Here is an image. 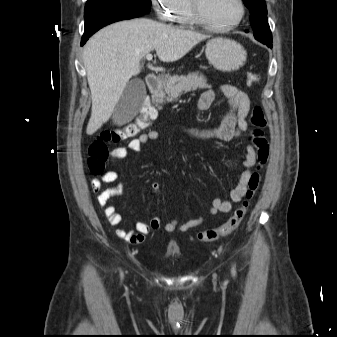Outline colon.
Returning a JSON list of instances; mask_svg holds the SVG:
<instances>
[{"instance_id": "colon-1", "label": "colon", "mask_w": 337, "mask_h": 337, "mask_svg": "<svg viewBox=\"0 0 337 337\" xmlns=\"http://www.w3.org/2000/svg\"><path fill=\"white\" fill-rule=\"evenodd\" d=\"M246 80L251 87L259 84V76L253 72H249L246 75ZM153 100V97L150 96L147 100L140 101V106L143 107V109L135 122L123 127L104 130L89 144L87 164L92 174H99L104 168L105 161L108 158L107 143L120 142L135 137L141 130L150 126L151 119H158V112L153 109ZM266 123V117L262 108L255 106L250 114V124L252 126V143L256 150L257 170L251 174L248 180L245 199L223 224L199 232L197 235L199 241L207 243L230 235L244 220L250 206V201L254 197L261 182V170L269 159L270 145L263 132Z\"/></svg>"}]
</instances>
